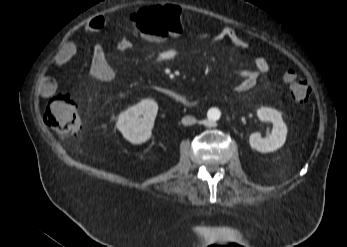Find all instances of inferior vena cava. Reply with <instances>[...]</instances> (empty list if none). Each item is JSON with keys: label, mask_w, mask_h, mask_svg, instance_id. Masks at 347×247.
I'll return each mask as SVG.
<instances>
[{"label": "inferior vena cava", "mask_w": 347, "mask_h": 247, "mask_svg": "<svg viewBox=\"0 0 347 247\" xmlns=\"http://www.w3.org/2000/svg\"><path fill=\"white\" fill-rule=\"evenodd\" d=\"M182 123L184 125H193L196 123V119L192 116H185L182 118Z\"/></svg>", "instance_id": "inferior-vena-cava-1"}]
</instances>
